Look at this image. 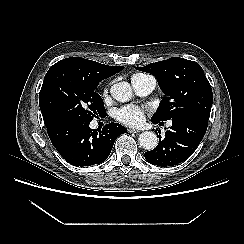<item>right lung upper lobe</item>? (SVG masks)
<instances>
[{
	"label": "right lung upper lobe",
	"mask_w": 244,
	"mask_h": 244,
	"mask_svg": "<svg viewBox=\"0 0 244 244\" xmlns=\"http://www.w3.org/2000/svg\"><path fill=\"white\" fill-rule=\"evenodd\" d=\"M124 66H108L80 57L63 59L54 64L49 71L58 70L90 85L120 72Z\"/></svg>",
	"instance_id": "1"
}]
</instances>
